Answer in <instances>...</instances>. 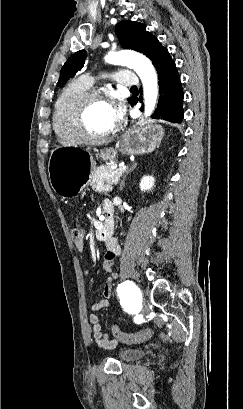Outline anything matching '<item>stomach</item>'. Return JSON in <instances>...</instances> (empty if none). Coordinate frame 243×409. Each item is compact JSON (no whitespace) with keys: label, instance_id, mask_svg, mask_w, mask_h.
Segmentation results:
<instances>
[{"label":"stomach","instance_id":"0dacf381","mask_svg":"<svg viewBox=\"0 0 243 409\" xmlns=\"http://www.w3.org/2000/svg\"><path fill=\"white\" fill-rule=\"evenodd\" d=\"M163 135L164 129L158 124L135 126L122 135L115 148L102 150L99 155L104 161H113L118 151L124 155L150 153L159 146ZM94 169L91 153L74 148H56L48 164L51 186L64 197L80 193L87 186Z\"/></svg>","mask_w":243,"mask_h":409}]
</instances>
